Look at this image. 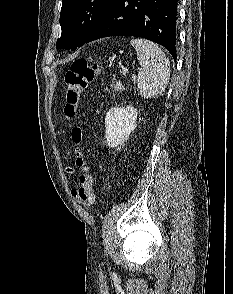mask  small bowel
<instances>
[{
  "label": "small bowel",
  "instance_id": "1",
  "mask_svg": "<svg viewBox=\"0 0 233 294\" xmlns=\"http://www.w3.org/2000/svg\"><path fill=\"white\" fill-rule=\"evenodd\" d=\"M69 171L73 172V167H69Z\"/></svg>",
  "mask_w": 233,
  "mask_h": 294
}]
</instances>
